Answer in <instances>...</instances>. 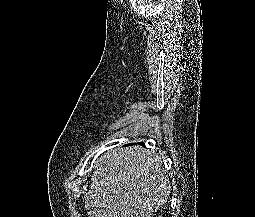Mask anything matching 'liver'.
I'll use <instances>...</instances> for the list:
<instances>
[{
  "instance_id": "1",
  "label": "liver",
  "mask_w": 255,
  "mask_h": 217,
  "mask_svg": "<svg viewBox=\"0 0 255 217\" xmlns=\"http://www.w3.org/2000/svg\"><path fill=\"white\" fill-rule=\"evenodd\" d=\"M163 159L140 146L104 154L84 196L89 217H150L170 195Z\"/></svg>"
}]
</instances>
